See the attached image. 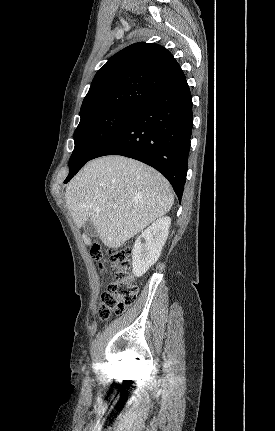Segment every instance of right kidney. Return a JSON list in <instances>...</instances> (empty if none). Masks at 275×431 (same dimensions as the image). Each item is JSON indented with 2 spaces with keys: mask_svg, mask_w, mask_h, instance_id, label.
<instances>
[{
  "mask_svg": "<svg viewBox=\"0 0 275 431\" xmlns=\"http://www.w3.org/2000/svg\"><path fill=\"white\" fill-rule=\"evenodd\" d=\"M170 224V217L159 218L136 239L132 250L134 276H142L158 260L167 240Z\"/></svg>",
  "mask_w": 275,
  "mask_h": 431,
  "instance_id": "obj_1",
  "label": "right kidney"
}]
</instances>
